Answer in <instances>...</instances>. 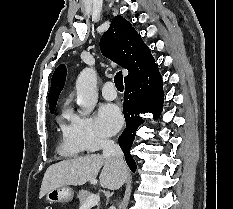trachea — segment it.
Returning a JSON list of instances; mask_svg holds the SVG:
<instances>
[{"label": "trachea", "mask_w": 233, "mask_h": 209, "mask_svg": "<svg viewBox=\"0 0 233 209\" xmlns=\"http://www.w3.org/2000/svg\"><path fill=\"white\" fill-rule=\"evenodd\" d=\"M114 83L118 90H123V75L122 71H119L114 77Z\"/></svg>", "instance_id": "obj_1"}]
</instances>
